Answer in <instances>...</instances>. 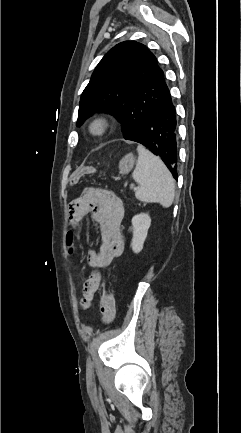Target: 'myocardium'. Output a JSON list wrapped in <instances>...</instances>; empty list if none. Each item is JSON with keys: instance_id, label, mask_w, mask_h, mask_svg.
Returning a JSON list of instances; mask_svg holds the SVG:
<instances>
[{"instance_id": "f54148a6", "label": "myocardium", "mask_w": 241, "mask_h": 433, "mask_svg": "<svg viewBox=\"0 0 241 433\" xmlns=\"http://www.w3.org/2000/svg\"><path fill=\"white\" fill-rule=\"evenodd\" d=\"M110 125L111 121L106 115H97L89 121L87 132L92 138H101L107 134Z\"/></svg>"}]
</instances>
